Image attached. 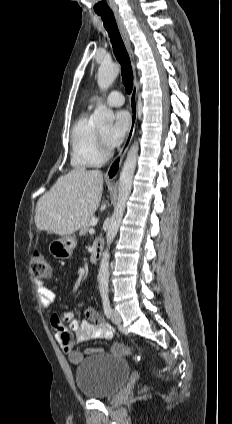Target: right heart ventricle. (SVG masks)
Instances as JSON below:
<instances>
[{
	"label": "right heart ventricle",
	"instance_id": "1",
	"mask_svg": "<svg viewBox=\"0 0 232 424\" xmlns=\"http://www.w3.org/2000/svg\"><path fill=\"white\" fill-rule=\"evenodd\" d=\"M97 128L86 111L74 124L71 134V165L75 169L99 167L106 158L98 142Z\"/></svg>",
	"mask_w": 232,
	"mask_h": 424
}]
</instances>
